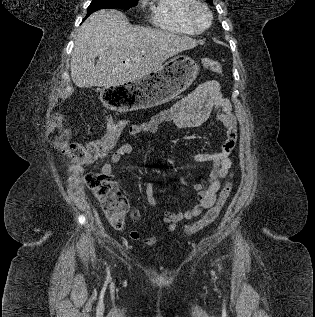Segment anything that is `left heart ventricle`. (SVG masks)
I'll use <instances>...</instances> for the list:
<instances>
[{
    "label": "left heart ventricle",
    "mask_w": 315,
    "mask_h": 317,
    "mask_svg": "<svg viewBox=\"0 0 315 317\" xmlns=\"http://www.w3.org/2000/svg\"><path fill=\"white\" fill-rule=\"evenodd\" d=\"M197 22L204 26L207 23V15L203 10H198L196 13Z\"/></svg>",
    "instance_id": "1"
}]
</instances>
